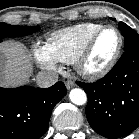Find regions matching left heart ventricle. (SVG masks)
I'll use <instances>...</instances> for the list:
<instances>
[{
  "mask_svg": "<svg viewBox=\"0 0 139 139\" xmlns=\"http://www.w3.org/2000/svg\"><path fill=\"white\" fill-rule=\"evenodd\" d=\"M118 45V36L114 30L108 29L97 38L92 52L86 62L90 70L103 67L113 56Z\"/></svg>",
  "mask_w": 139,
  "mask_h": 139,
  "instance_id": "1",
  "label": "left heart ventricle"
}]
</instances>
